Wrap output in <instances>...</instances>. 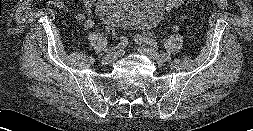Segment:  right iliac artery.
I'll list each match as a JSON object with an SVG mask.
<instances>
[{"label":"right iliac artery","mask_w":253,"mask_h":131,"mask_svg":"<svg viewBox=\"0 0 253 131\" xmlns=\"http://www.w3.org/2000/svg\"><path fill=\"white\" fill-rule=\"evenodd\" d=\"M125 45H126V40L124 39V37H121V41L116 46L107 48L104 51H105V53H108L109 51H112V50H115V49H121Z\"/></svg>","instance_id":"obj_1"}]
</instances>
